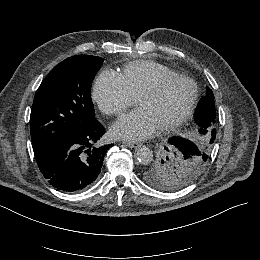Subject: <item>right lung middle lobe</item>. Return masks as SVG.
Returning a JSON list of instances; mask_svg holds the SVG:
<instances>
[{
  "label": "right lung middle lobe",
  "instance_id": "obj_1",
  "mask_svg": "<svg viewBox=\"0 0 260 260\" xmlns=\"http://www.w3.org/2000/svg\"><path fill=\"white\" fill-rule=\"evenodd\" d=\"M102 62L97 56H72L42 81L30 115L35 155L83 135L96 122L91 84Z\"/></svg>",
  "mask_w": 260,
  "mask_h": 260
}]
</instances>
